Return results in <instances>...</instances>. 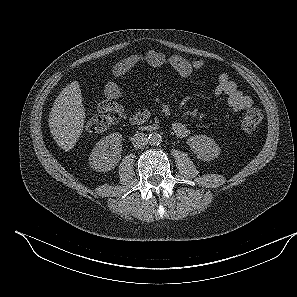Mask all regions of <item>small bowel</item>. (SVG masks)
Wrapping results in <instances>:
<instances>
[{
	"mask_svg": "<svg viewBox=\"0 0 297 297\" xmlns=\"http://www.w3.org/2000/svg\"><path fill=\"white\" fill-rule=\"evenodd\" d=\"M140 61H144L152 67L165 68L181 79L189 77L205 66L203 60L188 61L179 55H167L159 50H150L143 55L132 54L118 61L113 66V76L119 77L125 74ZM104 94L106 100L99 105L100 111H111L132 124H140L149 119L150 111L148 109H141L129 115L116 102L125 94L124 89L117 82H107L104 86ZM214 94L215 96H226L227 105L232 112L245 110L252 105V99L238 89L227 73L219 75ZM172 129L179 138H186L190 134V129L182 122H174Z\"/></svg>",
	"mask_w": 297,
	"mask_h": 297,
	"instance_id": "1",
	"label": "small bowel"
}]
</instances>
